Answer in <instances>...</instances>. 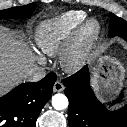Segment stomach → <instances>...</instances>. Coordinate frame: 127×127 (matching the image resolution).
<instances>
[{
	"label": "stomach",
	"instance_id": "1",
	"mask_svg": "<svg viewBox=\"0 0 127 127\" xmlns=\"http://www.w3.org/2000/svg\"><path fill=\"white\" fill-rule=\"evenodd\" d=\"M125 68L118 60L109 56L97 58L93 67V84L98 94L106 99L115 98L125 80Z\"/></svg>",
	"mask_w": 127,
	"mask_h": 127
}]
</instances>
